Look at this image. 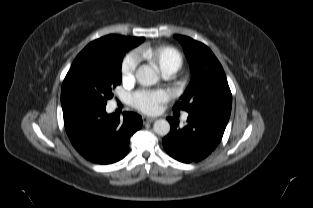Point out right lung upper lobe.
<instances>
[{
	"label": "right lung upper lobe",
	"instance_id": "obj_1",
	"mask_svg": "<svg viewBox=\"0 0 313 208\" xmlns=\"http://www.w3.org/2000/svg\"><path fill=\"white\" fill-rule=\"evenodd\" d=\"M144 41L143 37H125L120 35H108L89 43L75 58L73 64L95 58L101 55L102 49L112 42H122L129 46L136 47Z\"/></svg>",
	"mask_w": 313,
	"mask_h": 208
}]
</instances>
